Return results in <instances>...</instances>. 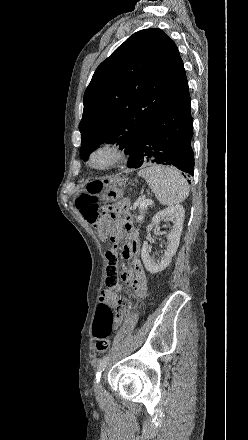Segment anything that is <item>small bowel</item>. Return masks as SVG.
Masks as SVG:
<instances>
[{"label": "small bowel", "mask_w": 248, "mask_h": 440, "mask_svg": "<svg viewBox=\"0 0 248 440\" xmlns=\"http://www.w3.org/2000/svg\"><path fill=\"white\" fill-rule=\"evenodd\" d=\"M116 236L119 237L124 232L128 237V242L124 245L122 255L129 260V269L122 273L123 281L129 283L135 294L143 297L147 293L148 281L145 270L139 260L140 240L138 231L133 226L127 211V204H123L113 217ZM120 267L119 257H110L105 267L104 283L110 290H105L100 295V302H104L112 307L116 316L114 319V328H118L123 320L125 313V302L117 295L120 290L121 278L118 276Z\"/></svg>", "instance_id": "small-bowel-1"}]
</instances>
